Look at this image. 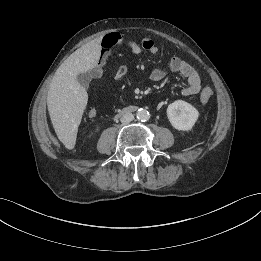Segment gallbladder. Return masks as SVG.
<instances>
[{"instance_id": "1", "label": "gallbladder", "mask_w": 261, "mask_h": 261, "mask_svg": "<svg viewBox=\"0 0 261 261\" xmlns=\"http://www.w3.org/2000/svg\"><path fill=\"white\" fill-rule=\"evenodd\" d=\"M77 81L79 82V84L84 87L87 88L89 86V83L92 79V76L89 72L86 73H80L77 75Z\"/></svg>"}]
</instances>
